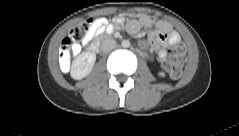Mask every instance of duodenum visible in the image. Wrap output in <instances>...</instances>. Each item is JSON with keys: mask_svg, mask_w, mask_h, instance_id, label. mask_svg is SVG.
<instances>
[{"mask_svg": "<svg viewBox=\"0 0 239 136\" xmlns=\"http://www.w3.org/2000/svg\"><path fill=\"white\" fill-rule=\"evenodd\" d=\"M89 50L93 53H96L99 51V43L98 42H94L89 46Z\"/></svg>", "mask_w": 239, "mask_h": 136, "instance_id": "obj_1", "label": "duodenum"}]
</instances>
